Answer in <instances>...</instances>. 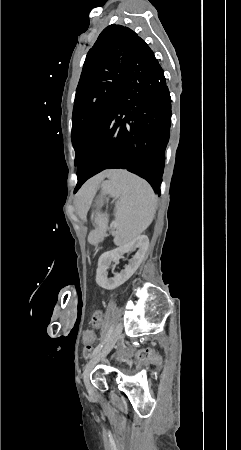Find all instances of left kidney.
Returning <instances> with one entry per match:
<instances>
[{
  "instance_id": "5707ae66",
  "label": "left kidney",
  "mask_w": 241,
  "mask_h": 450,
  "mask_svg": "<svg viewBox=\"0 0 241 450\" xmlns=\"http://www.w3.org/2000/svg\"><path fill=\"white\" fill-rule=\"evenodd\" d=\"M149 246L148 236H137L129 244L125 246H120L116 250H111V252H104L98 260V268L96 272V282L101 288L105 290H115L124 282H127L137 268H139ZM138 248L135 256L129 260L128 266H125V270H122L120 274H116L114 278H108V268L111 266V262H118L120 258H123V254H128V252H134Z\"/></svg>"
}]
</instances>
